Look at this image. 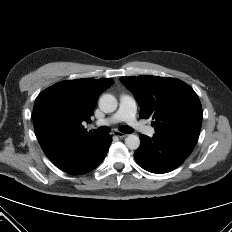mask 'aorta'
<instances>
[{"instance_id":"aorta-1","label":"aorta","mask_w":232,"mask_h":232,"mask_svg":"<svg viewBox=\"0 0 232 232\" xmlns=\"http://www.w3.org/2000/svg\"><path fill=\"white\" fill-rule=\"evenodd\" d=\"M117 99L111 94H104L99 99V108L104 113H111L117 109ZM125 145L130 150H136L140 146V139L137 135L130 134L125 139Z\"/></svg>"}]
</instances>
